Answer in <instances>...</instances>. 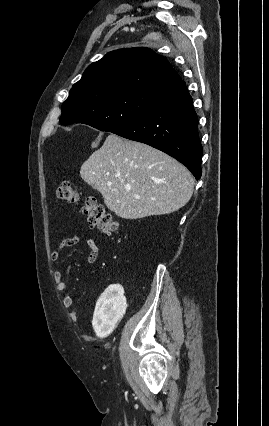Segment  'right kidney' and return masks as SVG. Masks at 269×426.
Segmentation results:
<instances>
[{"instance_id": "ca27d5eb", "label": "right kidney", "mask_w": 269, "mask_h": 426, "mask_svg": "<svg viewBox=\"0 0 269 426\" xmlns=\"http://www.w3.org/2000/svg\"><path fill=\"white\" fill-rule=\"evenodd\" d=\"M123 294L121 284L114 281L97 301L92 325L98 337L108 336L123 316L126 309V299Z\"/></svg>"}]
</instances>
